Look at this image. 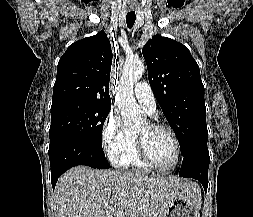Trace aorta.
<instances>
[{"mask_svg":"<svg viewBox=\"0 0 253 217\" xmlns=\"http://www.w3.org/2000/svg\"><path fill=\"white\" fill-rule=\"evenodd\" d=\"M145 66L141 61L127 62L124 65L120 82L116 88V102L124 125L135 127L145 120L144 112L134 98V84L143 76Z\"/></svg>","mask_w":253,"mask_h":217,"instance_id":"762f6f07","label":"aorta"}]
</instances>
